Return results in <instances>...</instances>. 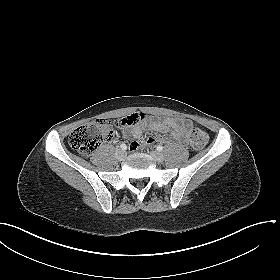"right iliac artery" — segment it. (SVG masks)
<instances>
[{"label":"right iliac artery","mask_w":280,"mask_h":280,"mask_svg":"<svg viewBox=\"0 0 280 280\" xmlns=\"http://www.w3.org/2000/svg\"><path fill=\"white\" fill-rule=\"evenodd\" d=\"M120 148H121L122 150H126V149H127V146H126V144L123 143V144L120 145Z\"/></svg>","instance_id":"1"}]
</instances>
